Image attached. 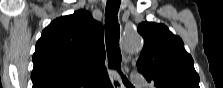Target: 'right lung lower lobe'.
I'll return each instance as SVG.
<instances>
[{
    "label": "right lung lower lobe",
    "mask_w": 223,
    "mask_h": 88,
    "mask_svg": "<svg viewBox=\"0 0 223 88\" xmlns=\"http://www.w3.org/2000/svg\"><path fill=\"white\" fill-rule=\"evenodd\" d=\"M99 88H112V85H111L109 79H107L105 83L100 85Z\"/></svg>",
    "instance_id": "1"
}]
</instances>
